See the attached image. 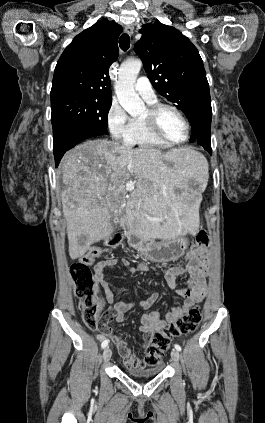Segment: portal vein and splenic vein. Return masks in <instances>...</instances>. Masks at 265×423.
<instances>
[{
    "label": "portal vein and splenic vein",
    "instance_id": "portal-vein-and-splenic-vein-1",
    "mask_svg": "<svg viewBox=\"0 0 265 423\" xmlns=\"http://www.w3.org/2000/svg\"><path fill=\"white\" fill-rule=\"evenodd\" d=\"M125 188H126V190H127V191H132V190H134V188H135V183H133V182H128V183H126Z\"/></svg>",
    "mask_w": 265,
    "mask_h": 423
}]
</instances>
